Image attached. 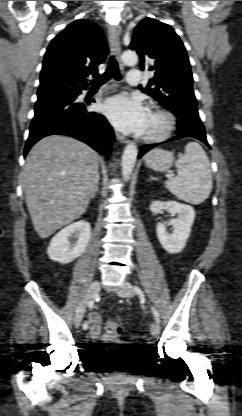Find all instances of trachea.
<instances>
[{
  "instance_id": "1",
  "label": "trachea",
  "mask_w": 242,
  "mask_h": 416,
  "mask_svg": "<svg viewBox=\"0 0 242 416\" xmlns=\"http://www.w3.org/2000/svg\"><path fill=\"white\" fill-rule=\"evenodd\" d=\"M112 77H114L116 80H121L117 61L113 57H110L106 71L98 78L92 80L90 83L92 87H98L106 83Z\"/></svg>"
}]
</instances>
